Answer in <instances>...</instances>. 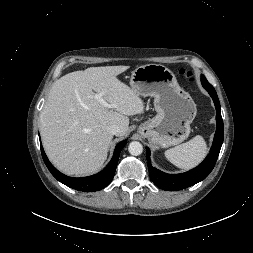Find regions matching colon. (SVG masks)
<instances>
[{
    "label": "colon",
    "mask_w": 253,
    "mask_h": 253,
    "mask_svg": "<svg viewBox=\"0 0 253 253\" xmlns=\"http://www.w3.org/2000/svg\"><path fill=\"white\" fill-rule=\"evenodd\" d=\"M180 75L184 76L189 82H194L193 73L186 69H181L179 71Z\"/></svg>",
    "instance_id": "obj_1"
}]
</instances>
